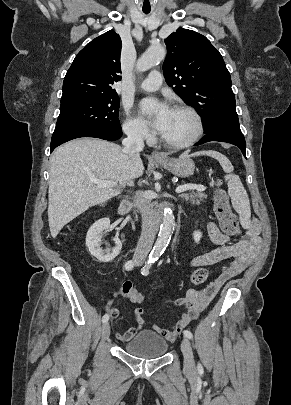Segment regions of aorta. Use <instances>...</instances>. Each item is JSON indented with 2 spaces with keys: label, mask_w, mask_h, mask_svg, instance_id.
<instances>
[{
  "label": "aorta",
  "mask_w": 291,
  "mask_h": 405,
  "mask_svg": "<svg viewBox=\"0 0 291 405\" xmlns=\"http://www.w3.org/2000/svg\"><path fill=\"white\" fill-rule=\"evenodd\" d=\"M166 49L161 45L149 47L138 59L136 68L138 71H146L165 59ZM174 215L170 208H165L163 221L160 226L157 241L149 255L151 260L158 259L168 246L174 229Z\"/></svg>",
  "instance_id": "762f6f07"
}]
</instances>
